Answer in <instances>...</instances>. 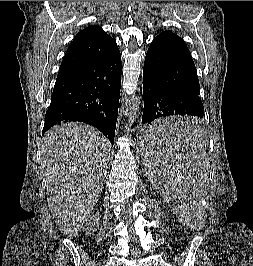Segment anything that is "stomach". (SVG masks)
<instances>
[{
  "mask_svg": "<svg viewBox=\"0 0 253 266\" xmlns=\"http://www.w3.org/2000/svg\"><path fill=\"white\" fill-rule=\"evenodd\" d=\"M141 138H146V136H145V135H143Z\"/></svg>",
  "mask_w": 253,
  "mask_h": 266,
  "instance_id": "stomach-1",
  "label": "stomach"
}]
</instances>
